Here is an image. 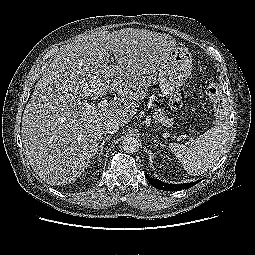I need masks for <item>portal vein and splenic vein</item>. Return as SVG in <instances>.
Listing matches in <instances>:
<instances>
[{"label":"portal vein and splenic vein","mask_w":255,"mask_h":255,"mask_svg":"<svg viewBox=\"0 0 255 255\" xmlns=\"http://www.w3.org/2000/svg\"><path fill=\"white\" fill-rule=\"evenodd\" d=\"M107 104H108L107 99H103L102 101H100V102L98 103V107H99V108H104ZM85 107H86L87 110H91V111H93V110L96 109L94 105H90V104L87 103V102H85Z\"/></svg>","instance_id":"portal-vein-and-splenic-vein-1"}]
</instances>
